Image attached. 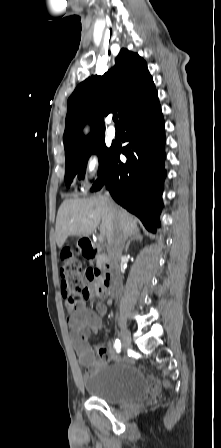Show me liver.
<instances>
[{"mask_svg":"<svg viewBox=\"0 0 221 448\" xmlns=\"http://www.w3.org/2000/svg\"><path fill=\"white\" fill-rule=\"evenodd\" d=\"M110 199L97 196L88 199H67L61 204L56 219V243L62 248L69 236L89 237L100 225V232L110 246L114 245L116 230L126 237L139 232L134 216L115 205Z\"/></svg>","mask_w":221,"mask_h":448,"instance_id":"obj_1","label":"liver"}]
</instances>
